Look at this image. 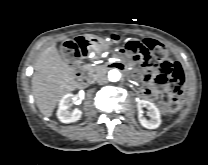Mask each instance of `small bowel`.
Masks as SVG:
<instances>
[{
	"label": "small bowel",
	"instance_id": "small-bowel-1",
	"mask_svg": "<svg viewBox=\"0 0 208 165\" xmlns=\"http://www.w3.org/2000/svg\"><path fill=\"white\" fill-rule=\"evenodd\" d=\"M128 64L133 66L132 59L128 60ZM186 74V68L174 57L163 56L160 58L157 68L147 66L142 71H135L134 76L148 84L146 88L140 90L141 97L156 100L161 94L170 92V87L180 86L185 80Z\"/></svg>",
	"mask_w": 208,
	"mask_h": 165
}]
</instances>
